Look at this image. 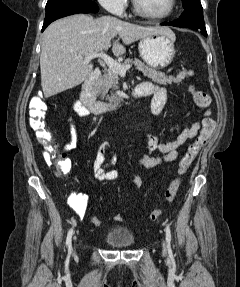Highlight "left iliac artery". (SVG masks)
I'll list each match as a JSON object with an SVG mask.
<instances>
[{
	"mask_svg": "<svg viewBox=\"0 0 240 287\" xmlns=\"http://www.w3.org/2000/svg\"><path fill=\"white\" fill-rule=\"evenodd\" d=\"M165 232H166V241H167L168 246H169L170 242H171V230H170L169 226H166Z\"/></svg>",
	"mask_w": 240,
	"mask_h": 287,
	"instance_id": "obj_1",
	"label": "left iliac artery"
}]
</instances>
